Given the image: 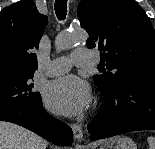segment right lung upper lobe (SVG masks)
<instances>
[{
  "label": "right lung upper lobe",
  "instance_id": "obj_1",
  "mask_svg": "<svg viewBox=\"0 0 155 149\" xmlns=\"http://www.w3.org/2000/svg\"><path fill=\"white\" fill-rule=\"evenodd\" d=\"M48 18L40 14L33 0H21L0 12V68L35 72L39 41Z\"/></svg>",
  "mask_w": 155,
  "mask_h": 149
}]
</instances>
